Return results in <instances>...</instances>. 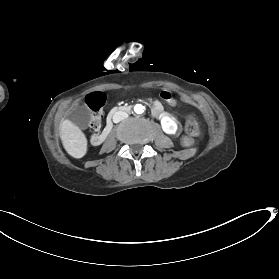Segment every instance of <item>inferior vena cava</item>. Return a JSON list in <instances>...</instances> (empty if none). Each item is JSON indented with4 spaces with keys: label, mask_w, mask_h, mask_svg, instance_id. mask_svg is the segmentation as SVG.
Instances as JSON below:
<instances>
[{
    "label": "inferior vena cava",
    "mask_w": 279,
    "mask_h": 279,
    "mask_svg": "<svg viewBox=\"0 0 279 279\" xmlns=\"http://www.w3.org/2000/svg\"><path fill=\"white\" fill-rule=\"evenodd\" d=\"M128 117V114L125 111H118V112H114V116H113V122L114 123H118L121 120H124Z\"/></svg>",
    "instance_id": "1"
}]
</instances>
